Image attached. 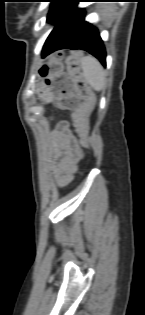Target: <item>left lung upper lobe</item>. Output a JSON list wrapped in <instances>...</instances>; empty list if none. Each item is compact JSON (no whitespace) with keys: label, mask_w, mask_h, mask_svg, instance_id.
I'll return each mask as SVG.
<instances>
[{"label":"left lung upper lobe","mask_w":145,"mask_h":315,"mask_svg":"<svg viewBox=\"0 0 145 315\" xmlns=\"http://www.w3.org/2000/svg\"><path fill=\"white\" fill-rule=\"evenodd\" d=\"M51 7L47 16V21L50 23H54L59 15L66 9V7L73 0H50Z\"/></svg>","instance_id":"1"}]
</instances>
